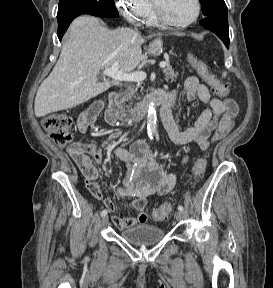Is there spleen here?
Masks as SVG:
<instances>
[{"instance_id":"obj_1","label":"spleen","mask_w":273,"mask_h":288,"mask_svg":"<svg viewBox=\"0 0 273 288\" xmlns=\"http://www.w3.org/2000/svg\"><path fill=\"white\" fill-rule=\"evenodd\" d=\"M223 77H225L226 76V72H223V75H222Z\"/></svg>"}]
</instances>
